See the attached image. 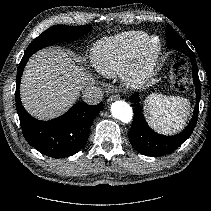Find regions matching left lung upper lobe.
Segmentation results:
<instances>
[{
  "mask_svg": "<svg viewBox=\"0 0 211 211\" xmlns=\"http://www.w3.org/2000/svg\"><path fill=\"white\" fill-rule=\"evenodd\" d=\"M167 41L170 40L172 37L176 38V39H182L179 34L171 27V26H167Z\"/></svg>",
  "mask_w": 211,
  "mask_h": 211,
  "instance_id": "obj_1",
  "label": "left lung upper lobe"
}]
</instances>
